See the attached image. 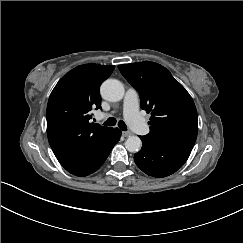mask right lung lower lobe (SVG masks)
Listing matches in <instances>:
<instances>
[{
	"mask_svg": "<svg viewBox=\"0 0 243 243\" xmlns=\"http://www.w3.org/2000/svg\"><path fill=\"white\" fill-rule=\"evenodd\" d=\"M120 137L121 131L118 128H113L86 157L65 169L79 177L94 173L105 162Z\"/></svg>",
	"mask_w": 243,
	"mask_h": 243,
	"instance_id": "right-lung-lower-lobe-1",
	"label": "right lung lower lobe"
}]
</instances>
